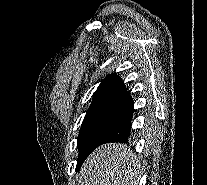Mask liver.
<instances>
[{"label": "liver", "instance_id": "6515ba94", "mask_svg": "<svg viewBox=\"0 0 207 185\" xmlns=\"http://www.w3.org/2000/svg\"><path fill=\"white\" fill-rule=\"evenodd\" d=\"M138 157L124 143H107L95 149L81 169L82 185H139Z\"/></svg>", "mask_w": 207, "mask_h": 185}]
</instances>
